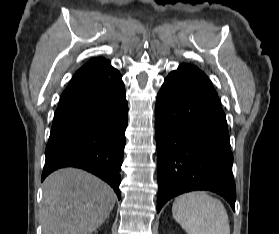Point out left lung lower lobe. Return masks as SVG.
<instances>
[{
  "label": "left lung lower lobe",
  "instance_id": "left-lung-lower-lobe-1",
  "mask_svg": "<svg viewBox=\"0 0 279 234\" xmlns=\"http://www.w3.org/2000/svg\"><path fill=\"white\" fill-rule=\"evenodd\" d=\"M157 212L174 196L210 190L235 210L233 155L225 114L208 77L182 64L156 99Z\"/></svg>",
  "mask_w": 279,
  "mask_h": 234
}]
</instances>
